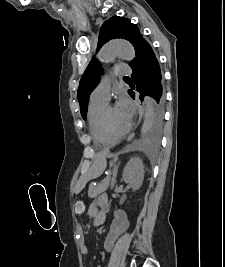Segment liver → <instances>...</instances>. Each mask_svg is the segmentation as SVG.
Segmentation results:
<instances>
[{
    "instance_id": "obj_1",
    "label": "liver",
    "mask_w": 225,
    "mask_h": 267,
    "mask_svg": "<svg viewBox=\"0 0 225 267\" xmlns=\"http://www.w3.org/2000/svg\"><path fill=\"white\" fill-rule=\"evenodd\" d=\"M106 153H100L96 156L95 163L89 173V177H97L104 171L106 167Z\"/></svg>"
}]
</instances>
